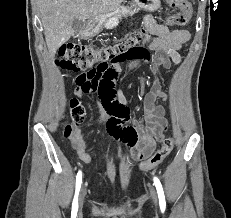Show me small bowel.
I'll use <instances>...</instances> for the list:
<instances>
[{
    "mask_svg": "<svg viewBox=\"0 0 231 218\" xmlns=\"http://www.w3.org/2000/svg\"><path fill=\"white\" fill-rule=\"evenodd\" d=\"M144 23L149 35L143 39L142 44L158 51L151 65L150 58L116 56V60H109L100 66H94L93 69H82V74L76 79L77 95L99 91L103 106L111 116L107 123L108 132L127 144L131 149V155L137 159L149 156L153 151L154 142L138 123L124 126L129 117V109L123 92L115 89L120 74L125 73L124 69H120V63L129 61L132 69L139 65H150V70L154 74L160 67L168 69L172 64L179 65L181 62L179 50L190 39L187 30H169L166 25L157 23L152 15L145 16ZM122 80L123 77H120L119 81ZM158 98L167 101V95L162 92L160 82L153 77L150 90L144 97L143 112L147 131L160 135L167 128V121L164 118V108L157 104ZM72 146L82 161L86 163L91 161L88 154L89 144L84 139L81 128L75 130Z\"/></svg>",
    "mask_w": 231,
    "mask_h": 218,
    "instance_id": "obj_1",
    "label": "small bowel"
}]
</instances>
